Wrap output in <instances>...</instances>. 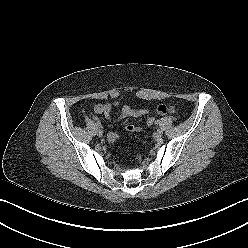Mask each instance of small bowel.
<instances>
[{
  "mask_svg": "<svg viewBox=\"0 0 248 248\" xmlns=\"http://www.w3.org/2000/svg\"><path fill=\"white\" fill-rule=\"evenodd\" d=\"M119 106L118 102L114 103H106V104H97L94 106V112L98 115H104L107 119H111L112 117V110L114 107ZM173 111V108L171 106L161 104L156 107V112L159 115H165L169 112ZM149 113L148 109H139L134 108L129 105H124L121 108V115L123 117H140L144 116ZM126 130L129 132H140L142 131L141 127L134 126L132 124L126 125Z\"/></svg>",
  "mask_w": 248,
  "mask_h": 248,
  "instance_id": "obj_1",
  "label": "small bowel"
}]
</instances>
